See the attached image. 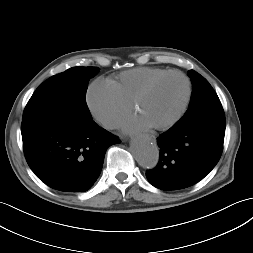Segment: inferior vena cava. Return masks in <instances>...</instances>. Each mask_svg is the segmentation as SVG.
<instances>
[{
    "label": "inferior vena cava",
    "mask_w": 253,
    "mask_h": 253,
    "mask_svg": "<svg viewBox=\"0 0 253 253\" xmlns=\"http://www.w3.org/2000/svg\"><path fill=\"white\" fill-rule=\"evenodd\" d=\"M106 123H107V124H110V121L108 120V121H106Z\"/></svg>",
    "instance_id": "1"
}]
</instances>
